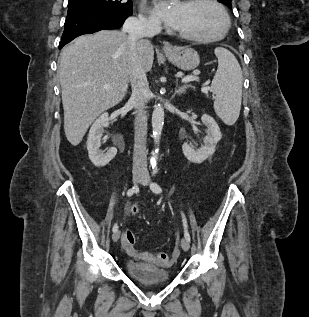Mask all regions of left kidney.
Wrapping results in <instances>:
<instances>
[{
	"instance_id": "obj_1",
	"label": "left kidney",
	"mask_w": 309,
	"mask_h": 317,
	"mask_svg": "<svg viewBox=\"0 0 309 317\" xmlns=\"http://www.w3.org/2000/svg\"><path fill=\"white\" fill-rule=\"evenodd\" d=\"M202 123L207 127V135L203 139V146L195 150L189 144L182 145V151L185 157L193 163L200 164L209 156L214 154L215 147L221 139L222 134L216 121L209 115L204 114L201 117Z\"/></svg>"
}]
</instances>
